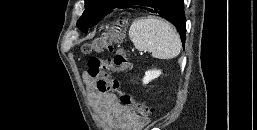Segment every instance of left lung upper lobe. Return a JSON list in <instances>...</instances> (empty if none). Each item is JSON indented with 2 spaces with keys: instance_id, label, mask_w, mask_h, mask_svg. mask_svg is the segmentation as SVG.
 <instances>
[{
  "instance_id": "1",
  "label": "left lung upper lobe",
  "mask_w": 257,
  "mask_h": 130,
  "mask_svg": "<svg viewBox=\"0 0 257 130\" xmlns=\"http://www.w3.org/2000/svg\"><path fill=\"white\" fill-rule=\"evenodd\" d=\"M129 0H85V11L77 22L78 28L87 32V28L95 25L102 17L115 8H123Z\"/></svg>"
}]
</instances>
